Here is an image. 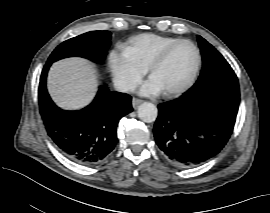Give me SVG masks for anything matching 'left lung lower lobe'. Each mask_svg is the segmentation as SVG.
Here are the masks:
<instances>
[{"label": "left lung lower lobe", "instance_id": "0a47b994", "mask_svg": "<svg viewBox=\"0 0 270 213\" xmlns=\"http://www.w3.org/2000/svg\"><path fill=\"white\" fill-rule=\"evenodd\" d=\"M240 102L239 83L229 74L193 93L158 105L154 137L175 166L199 165L227 143Z\"/></svg>", "mask_w": 270, "mask_h": 213}]
</instances>
